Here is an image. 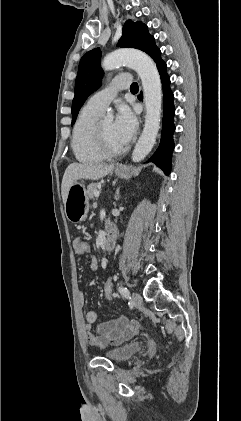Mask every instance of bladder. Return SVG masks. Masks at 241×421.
<instances>
[{
	"label": "bladder",
	"mask_w": 241,
	"mask_h": 421,
	"mask_svg": "<svg viewBox=\"0 0 241 421\" xmlns=\"http://www.w3.org/2000/svg\"><path fill=\"white\" fill-rule=\"evenodd\" d=\"M142 348L139 342H130L106 353V357L114 362H124L132 358Z\"/></svg>",
	"instance_id": "obj_1"
}]
</instances>
